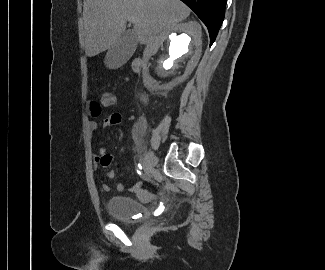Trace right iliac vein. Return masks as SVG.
Wrapping results in <instances>:
<instances>
[{"label": "right iliac vein", "instance_id": "right-iliac-vein-1", "mask_svg": "<svg viewBox=\"0 0 325 270\" xmlns=\"http://www.w3.org/2000/svg\"><path fill=\"white\" fill-rule=\"evenodd\" d=\"M145 164L147 167L153 168L157 164V158L156 156L152 153L151 157L145 161Z\"/></svg>", "mask_w": 325, "mask_h": 270}]
</instances>
